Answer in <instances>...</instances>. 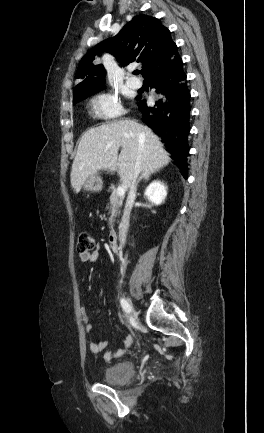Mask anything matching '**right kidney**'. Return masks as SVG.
Returning a JSON list of instances; mask_svg holds the SVG:
<instances>
[{"instance_id": "obj_1", "label": "right kidney", "mask_w": 264, "mask_h": 433, "mask_svg": "<svg viewBox=\"0 0 264 433\" xmlns=\"http://www.w3.org/2000/svg\"><path fill=\"white\" fill-rule=\"evenodd\" d=\"M145 197L155 205H160L167 196V189L159 180L153 181L144 193Z\"/></svg>"}]
</instances>
